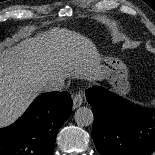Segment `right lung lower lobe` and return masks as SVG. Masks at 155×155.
<instances>
[{
  "label": "right lung lower lobe",
  "mask_w": 155,
  "mask_h": 155,
  "mask_svg": "<svg viewBox=\"0 0 155 155\" xmlns=\"http://www.w3.org/2000/svg\"><path fill=\"white\" fill-rule=\"evenodd\" d=\"M71 114L68 92L40 95L14 124L0 129V155H51L57 132Z\"/></svg>",
  "instance_id": "obj_1"
}]
</instances>
